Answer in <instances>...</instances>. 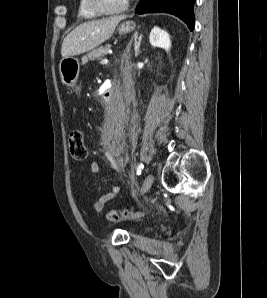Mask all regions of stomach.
<instances>
[{
	"label": "stomach",
	"instance_id": "0dacf381",
	"mask_svg": "<svg viewBox=\"0 0 267 298\" xmlns=\"http://www.w3.org/2000/svg\"><path fill=\"white\" fill-rule=\"evenodd\" d=\"M136 24L133 21H127L119 26L120 34H127L134 31ZM59 71L62 82L67 86H74L79 73V62L76 58H63L59 65Z\"/></svg>",
	"mask_w": 267,
	"mask_h": 298
}]
</instances>
